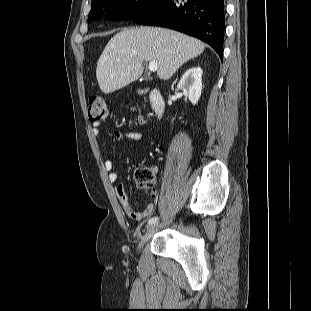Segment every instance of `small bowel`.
I'll use <instances>...</instances> for the list:
<instances>
[{"label":"small bowel","instance_id":"small-bowel-1","mask_svg":"<svg viewBox=\"0 0 311 311\" xmlns=\"http://www.w3.org/2000/svg\"><path fill=\"white\" fill-rule=\"evenodd\" d=\"M91 131L94 136H99L100 135V123L99 122L93 123ZM113 136L118 141H121V140L141 141L143 139V134L139 131L125 132L121 130H115L113 132ZM104 169L108 173L109 181L111 183L117 182L118 174L114 171V163L111 159H107L104 161ZM115 193L125 214L130 219L143 222L153 214L154 212L153 202H149L143 210L136 211L130 204L129 198L122 184H118L117 186H115Z\"/></svg>","mask_w":311,"mask_h":311}]
</instances>
